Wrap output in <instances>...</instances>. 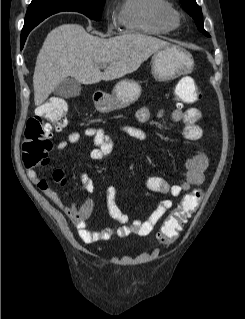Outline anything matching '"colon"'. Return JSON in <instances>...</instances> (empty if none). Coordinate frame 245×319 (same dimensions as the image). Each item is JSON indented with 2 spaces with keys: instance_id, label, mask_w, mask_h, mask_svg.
I'll return each mask as SVG.
<instances>
[{
  "instance_id": "1",
  "label": "colon",
  "mask_w": 245,
  "mask_h": 319,
  "mask_svg": "<svg viewBox=\"0 0 245 319\" xmlns=\"http://www.w3.org/2000/svg\"><path fill=\"white\" fill-rule=\"evenodd\" d=\"M176 96L180 104H187L201 97L200 91L192 88L177 87ZM68 104L63 99H54L41 105L40 112L27 120L22 144V161L29 170L43 168L49 164L52 150L51 137L54 132L61 130L67 123ZM52 179L63 183L64 176L59 170H54ZM41 189H52L44 180L39 182ZM203 192L195 189L186 194L181 203L165 220L157 238L163 244L172 243L178 236L183 224L191 217L200 205Z\"/></svg>"
}]
</instances>
